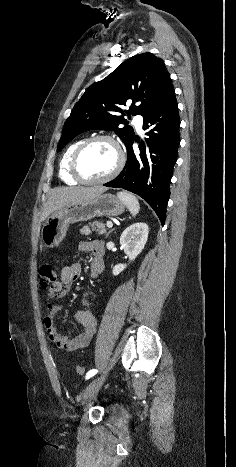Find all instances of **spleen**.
Here are the masks:
<instances>
[{
  "label": "spleen",
  "instance_id": "spleen-1",
  "mask_svg": "<svg viewBox=\"0 0 236 467\" xmlns=\"http://www.w3.org/2000/svg\"><path fill=\"white\" fill-rule=\"evenodd\" d=\"M118 198L127 206L133 216H136L140 210V205L137 198L128 192L122 191L117 193Z\"/></svg>",
  "mask_w": 236,
  "mask_h": 467
}]
</instances>
